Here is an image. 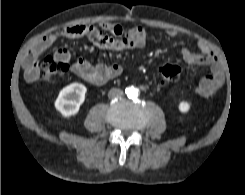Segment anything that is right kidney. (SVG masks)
<instances>
[{"instance_id":"right-kidney-1","label":"right kidney","mask_w":245,"mask_h":195,"mask_svg":"<svg viewBox=\"0 0 245 195\" xmlns=\"http://www.w3.org/2000/svg\"><path fill=\"white\" fill-rule=\"evenodd\" d=\"M87 88L81 83H72L64 87L55 101V108L64 117H70L78 113L85 100Z\"/></svg>"}]
</instances>
